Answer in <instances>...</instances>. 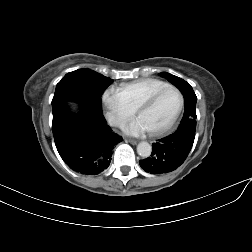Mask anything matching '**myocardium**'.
Here are the masks:
<instances>
[{
	"label": "myocardium",
	"mask_w": 252,
	"mask_h": 252,
	"mask_svg": "<svg viewBox=\"0 0 252 252\" xmlns=\"http://www.w3.org/2000/svg\"><path fill=\"white\" fill-rule=\"evenodd\" d=\"M167 91H174L178 95L179 104H178V107L175 110L174 114L170 118V120L164 126H162L161 128L155 129V130L148 131L149 134L152 136H159V135L165 134L173 127V125L177 121V119L183 109V106H184L183 94L176 87L168 86V87L163 88V89L153 93L152 95H150L148 98H146L144 101H142L136 108V114L138 115L140 111L150 107L163 93H165Z\"/></svg>",
	"instance_id": "obj_1"
}]
</instances>
